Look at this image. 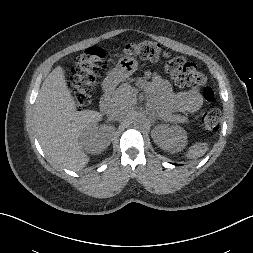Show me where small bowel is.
<instances>
[{
	"label": "small bowel",
	"instance_id": "1",
	"mask_svg": "<svg viewBox=\"0 0 253 253\" xmlns=\"http://www.w3.org/2000/svg\"><path fill=\"white\" fill-rule=\"evenodd\" d=\"M141 83L148 90L154 92L171 111L194 113L202 105L203 99L197 88L175 92L169 82L158 74L153 75L152 82L142 80Z\"/></svg>",
	"mask_w": 253,
	"mask_h": 253
}]
</instances>
